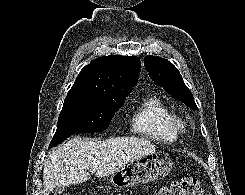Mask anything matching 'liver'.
<instances>
[{"mask_svg": "<svg viewBox=\"0 0 245 195\" xmlns=\"http://www.w3.org/2000/svg\"><path fill=\"white\" fill-rule=\"evenodd\" d=\"M151 141L134 137H112L104 141L71 138L49 155L44 166V193L57 186L83 183L91 172L97 177L109 176L129 162L155 153Z\"/></svg>", "mask_w": 245, "mask_h": 195, "instance_id": "1", "label": "liver"}]
</instances>
